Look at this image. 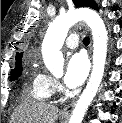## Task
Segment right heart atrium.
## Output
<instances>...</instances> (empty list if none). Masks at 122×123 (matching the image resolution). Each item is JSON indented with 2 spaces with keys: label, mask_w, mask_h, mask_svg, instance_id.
I'll return each instance as SVG.
<instances>
[{
  "label": "right heart atrium",
  "mask_w": 122,
  "mask_h": 123,
  "mask_svg": "<svg viewBox=\"0 0 122 123\" xmlns=\"http://www.w3.org/2000/svg\"><path fill=\"white\" fill-rule=\"evenodd\" d=\"M48 77V82H49V87L52 93H57L61 91V84L59 83L58 80H56L53 77L47 76Z\"/></svg>",
  "instance_id": "d8ad5b80"
}]
</instances>
